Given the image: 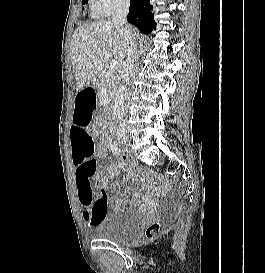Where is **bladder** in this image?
Wrapping results in <instances>:
<instances>
[{"label":"bladder","mask_w":265,"mask_h":273,"mask_svg":"<svg viewBox=\"0 0 265 273\" xmlns=\"http://www.w3.org/2000/svg\"><path fill=\"white\" fill-rule=\"evenodd\" d=\"M139 225L140 217L136 212L114 211L106 213L91 233L97 239L120 243L134 237Z\"/></svg>","instance_id":"1"}]
</instances>
